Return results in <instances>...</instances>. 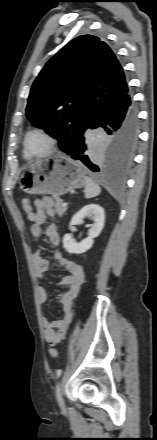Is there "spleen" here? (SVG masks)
Masks as SVG:
<instances>
[{
	"instance_id": "3e777b00",
	"label": "spleen",
	"mask_w": 157,
	"mask_h": 440,
	"mask_svg": "<svg viewBox=\"0 0 157 440\" xmlns=\"http://www.w3.org/2000/svg\"><path fill=\"white\" fill-rule=\"evenodd\" d=\"M101 189L99 185L90 177L85 176V198L90 199L100 194Z\"/></svg>"
}]
</instances>
